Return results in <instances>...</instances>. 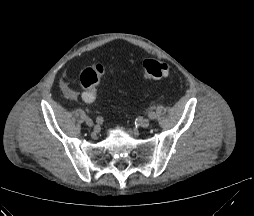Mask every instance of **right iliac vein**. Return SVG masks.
<instances>
[{
  "instance_id": "obj_1",
  "label": "right iliac vein",
  "mask_w": 254,
  "mask_h": 216,
  "mask_svg": "<svg viewBox=\"0 0 254 216\" xmlns=\"http://www.w3.org/2000/svg\"><path fill=\"white\" fill-rule=\"evenodd\" d=\"M85 123H86V125L89 126V127H93V126H94V122H93V120L90 119V118H86V119H85Z\"/></svg>"
}]
</instances>
